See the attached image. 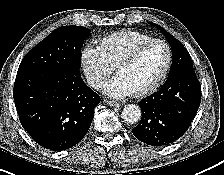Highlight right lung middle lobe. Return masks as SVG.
<instances>
[{
  "mask_svg": "<svg viewBox=\"0 0 224 175\" xmlns=\"http://www.w3.org/2000/svg\"><path fill=\"white\" fill-rule=\"evenodd\" d=\"M90 35L82 26H62L33 47L23 58L18 72L38 70L67 73L79 71L81 46Z\"/></svg>",
  "mask_w": 224,
  "mask_h": 175,
  "instance_id": "obj_1",
  "label": "right lung middle lobe"
}]
</instances>
